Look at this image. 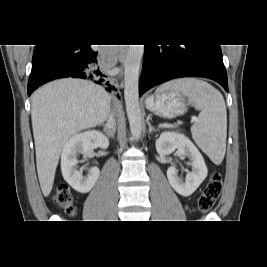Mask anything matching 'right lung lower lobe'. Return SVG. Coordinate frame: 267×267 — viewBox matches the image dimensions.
<instances>
[{
    "label": "right lung lower lobe",
    "mask_w": 267,
    "mask_h": 267,
    "mask_svg": "<svg viewBox=\"0 0 267 267\" xmlns=\"http://www.w3.org/2000/svg\"><path fill=\"white\" fill-rule=\"evenodd\" d=\"M88 79L116 90L107 81L101 54L90 45H36L28 82V95L42 84L59 78Z\"/></svg>",
    "instance_id": "1"
}]
</instances>
